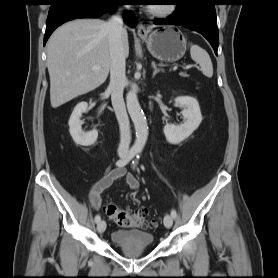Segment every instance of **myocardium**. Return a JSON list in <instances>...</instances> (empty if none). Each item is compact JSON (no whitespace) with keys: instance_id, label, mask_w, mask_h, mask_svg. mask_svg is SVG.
<instances>
[{"instance_id":"obj_1","label":"myocardium","mask_w":278,"mask_h":278,"mask_svg":"<svg viewBox=\"0 0 278 278\" xmlns=\"http://www.w3.org/2000/svg\"><path fill=\"white\" fill-rule=\"evenodd\" d=\"M176 8V4L169 3L161 6L149 7L148 12L155 17L165 18L171 16L175 12Z\"/></svg>"}]
</instances>
